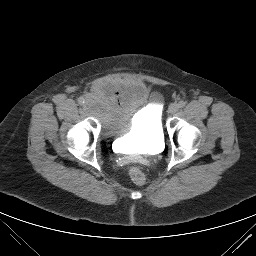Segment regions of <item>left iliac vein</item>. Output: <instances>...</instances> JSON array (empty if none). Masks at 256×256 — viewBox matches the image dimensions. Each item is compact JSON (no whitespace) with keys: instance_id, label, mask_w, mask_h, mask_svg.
<instances>
[{"instance_id":"4c4485c4","label":"left iliac vein","mask_w":256,"mask_h":256,"mask_svg":"<svg viewBox=\"0 0 256 256\" xmlns=\"http://www.w3.org/2000/svg\"><path fill=\"white\" fill-rule=\"evenodd\" d=\"M178 109H179V105L176 104V103H172V104L169 106L168 111H169L170 114H174V113H176V112L178 111Z\"/></svg>"}]
</instances>
